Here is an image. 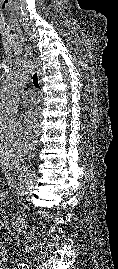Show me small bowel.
Here are the masks:
<instances>
[{"instance_id": "1", "label": "small bowel", "mask_w": 118, "mask_h": 269, "mask_svg": "<svg viewBox=\"0 0 118 269\" xmlns=\"http://www.w3.org/2000/svg\"><path fill=\"white\" fill-rule=\"evenodd\" d=\"M0 269H9V268H3V267H0Z\"/></svg>"}]
</instances>
